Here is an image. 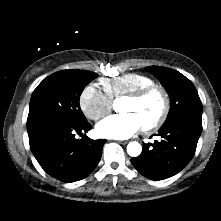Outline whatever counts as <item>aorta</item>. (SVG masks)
I'll return each instance as SVG.
<instances>
[{"instance_id": "aorta-1", "label": "aorta", "mask_w": 221, "mask_h": 221, "mask_svg": "<svg viewBox=\"0 0 221 221\" xmlns=\"http://www.w3.org/2000/svg\"><path fill=\"white\" fill-rule=\"evenodd\" d=\"M141 152H142V146L138 142L133 141L127 145V153L131 157H137L141 154Z\"/></svg>"}]
</instances>
